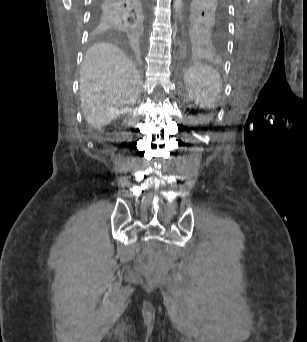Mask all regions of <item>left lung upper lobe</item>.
<instances>
[{
  "instance_id": "obj_1",
  "label": "left lung upper lobe",
  "mask_w": 307,
  "mask_h": 342,
  "mask_svg": "<svg viewBox=\"0 0 307 342\" xmlns=\"http://www.w3.org/2000/svg\"><path fill=\"white\" fill-rule=\"evenodd\" d=\"M186 42L194 49L221 53L227 38L226 0H186Z\"/></svg>"
}]
</instances>
